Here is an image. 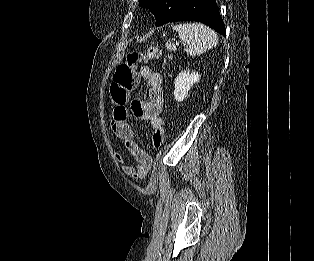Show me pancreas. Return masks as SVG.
I'll return each instance as SVG.
<instances>
[{
	"label": "pancreas",
	"mask_w": 314,
	"mask_h": 261,
	"mask_svg": "<svg viewBox=\"0 0 314 261\" xmlns=\"http://www.w3.org/2000/svg\"><path fill=\"white\" fill-rule=\"evenodd\" d=\"M166 47H167L168 51H175L176 50V46L171 42H168L166 44Z\"/></svg>",
	"instance_id": "obj_1"
}]
</instances>
